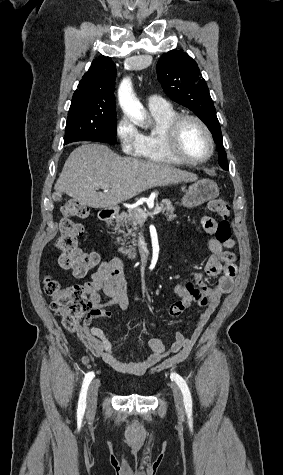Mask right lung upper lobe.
Returning <instances> with one entry per match:
<instances>
[{"mask_svg":"<svg viewBox=\"0 0 283 475\" xmlns=\"http://www.w3.org/2000/svg\"><path fill=\"white\" fill-rule=\"evenodd\" d=\"M115 78L116 67L110 57L100 56L94 59L88 72L79 82L72 101L115 105Z\"/></svg>","mask_w":283,"mask_h":475,"instance_id":"obj_1","label":"right lung upper lobe"}]
</instances>
